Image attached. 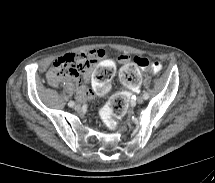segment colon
I'll list each match as a JSON object with an SVG mask.
<instances>
[{
  "instance_id": "1",
  "label": "colon",
  "mask_w": 215,
  "mask_h": 183,
  "mask_svg": "<svg viewBox=\"0 0 215 183\" xmlns=\"http://www.w3.org/2000/svg\"><path fill=\"white\" fill-rule=\"evenodd\" d=\"M150 67L154 72L158 73L162 70V64L159 61H149L143 57H134L132 62L126 64L120 73L121 80L132 93H137L141 89L140 69ZM52 75L54 79L74 72V66L70 63L55 62L52 67ZM129 105V97L127 93L120 92L112 96L106 107L101 112V119L106 128L113 131L117 127V120L126 112Z\"/></svg>"
}]
</instances>
